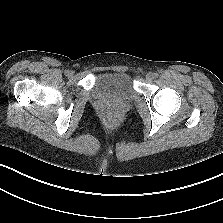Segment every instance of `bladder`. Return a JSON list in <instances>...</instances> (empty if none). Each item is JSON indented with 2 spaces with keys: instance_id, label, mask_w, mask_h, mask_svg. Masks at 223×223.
<instances>
[{
  "instance_id": "bladder-1",
  "label": "bladder",
  "mask_w": 223,
  "mask_h": 223,
  "mask_svg": "<svg viewBox=\"0 0 223 223\" xmlns=\"http://www.w3.org/2000/svg\"><path fill=\"white\" fill-rule=\"evenodd\" d=\"M91 93L97 99L119 102L132 101L136 96L130 76L122 72L99 74L94 80Z\"/></svg>"
}]
</instances>
